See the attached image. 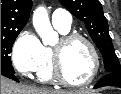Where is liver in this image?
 <instances>
[{
	"instance_id": "liver-1",
	"label": "liver",
	"mask_w": 121,
	"mask_h": 94,
	"mask_svg": "<svg viewBox=\"0 0 121 94\" xmlns=\"http://www.w3.org/2000/svg\"><path fill=\"white\" fill-rule=\"evenodd\" d=\"M1 94H89L87 91H57L22 85L1 76Z\"/></svg>"
}]
</instances>
